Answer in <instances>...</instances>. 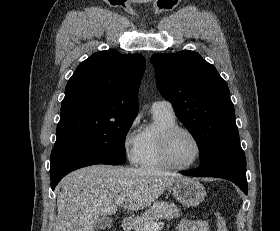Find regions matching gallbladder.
Segmentation results:
<instances>
[{
  "mask_svg": "<svg viewBox=\"0 0 280 231\" xmlns=\"http://www.w3.org/2000/svg\"><path fill=\"white\" fill-rule=\"evenodd\" d=\"M112 225L113 219H111V217H104V215H100L96 221V227H98V229H109Z\"/></svg>",
  "mask_w": 280,
  "mask_h": 231,
  "instance_id": "1",
  "label": "gallbladder"
}]
</instances>
